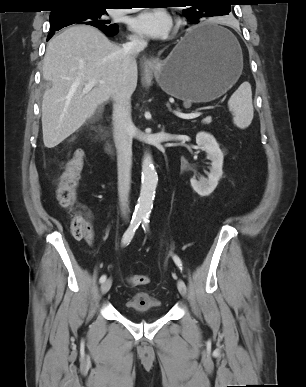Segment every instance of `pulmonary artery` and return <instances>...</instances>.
<instances>
[{
	"label": "pulmonary artery",
	"mask_w": 306,
	"mask_h": 387,
	"mask_svg": "<svg viewBox=\"0 0 306 387\" xmlns=\"http://www.w3.org/2000/svg\"><path fill=\"white\" fill-rule=\"evenodd\" d=\"M128 11H130V10H123V12H128Z\"/></svg>",
	"instance_id": "pulmonary-artery-1"
}]
</instances>
